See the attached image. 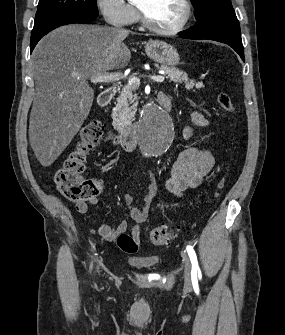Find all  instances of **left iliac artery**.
<instances>
[{
	"label": "left iliac artery",
	"instance_id": "1",
	"mask_svg": "<svg viewBox=\"0 0 285 335\" xmlns=\"http://www.w3.org/2000/svg\"><path fill=\"white\" fill-rule=\"evenodd\" d=\"M186 250L188 252V255L190 257V261L192 264L191 276H192V279L194 280V279H197V273L199 275V272H200V268H199L198 261H197V256L192 246H187Z\"/></svg>",
	"mask_w": 285,
	"mask_h": 335
}]
</instances>
